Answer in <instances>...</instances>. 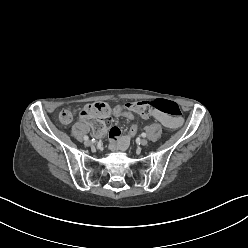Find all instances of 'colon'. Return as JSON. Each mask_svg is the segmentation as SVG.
Wrapping results in <instances>:
<instances>
[{"instance_id":"1","label":"colon","mask_w":248,"mask_h":248,"mask_svg":"<svg viewBox=\"0 0 248 248\" xmlns=\"http://www.w3.org/2000/svg\"><path fill=\"white\" fill-rule=\"evenodd\" d=\"M124 108L128 110H124L122 116L130 121L128 134L132 138L138 136L140 128L136 124V115L129 110L135 111L144 118H149L154 111L163 112L175 118H180L181 116L179 105L174 101L165 99H157L153 101H134L127 103ZM117 110L118 108H115L112 112ZM110 112L111 108L107 104L102 101H97L95 103L87 104L85 108L79 111V116L83 120H92V124L94 126L92 133L96 139L101 140L106 135L103 126L105 122L108 121ZM70 118L71 113L69 111L61 112L60 120L62 123H67Z\"/></svg>"}]
</instances>
